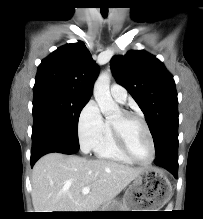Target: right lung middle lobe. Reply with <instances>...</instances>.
<instances>
[{"instance_id": "right-lung-middle-lobe-1", "label": "right lung middle lobe", "mask_w": 203, "mask_h": 219, "mask_svg": "<svg viewBox=\"0 0 203 219\" xmlns=\"http://www.w3.org/2000/svg\"><path fill=\"white\" fill-rule=\"evenodd\" d=\"M33 92L32 142L49 139L57 144L56 152L76 153L78 120L89 99L53 87L33 88Z\"/></svg>"}]
</instances>
